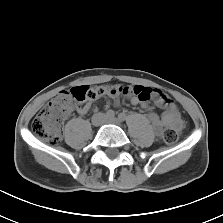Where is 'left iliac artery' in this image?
<instances>
[{"label": "left iliac artery", "mask_w": 223, "mask_h": 223, "mask_svg": "<svg viewBox=\"0 0 223 223\" xmlns=\"http://www.w3.org/2000/svg\"><path fill=\"white\" fill-rule=\"evenodd\" d=\"M118 119L121 120V121H124L126 119V115L124 113H120L118 115Z\"/></svg>", "instance_id": "44dca946"}]
</instances>
